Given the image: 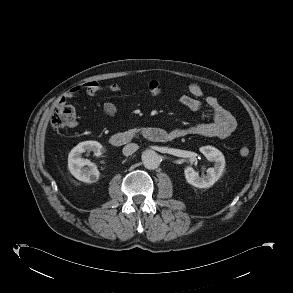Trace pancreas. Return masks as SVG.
<instances>
[{
    "mask_svg": "<svg viewBox=\"0 0 293 293\" xmlns=\"http://www.w3.org/2000/svg\"><path fill=\"white\" fill-rule=\"evenodd\" d=\"M140 129L139 128H134L132 130H130L131 132H136V131H139Z\"/></svg>",
    "mask_w": 293,
    "mask_h": 293,
    "instance_id": "1",
    "label": "pancreas"
}]
</instances>
